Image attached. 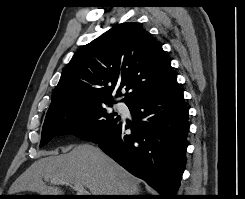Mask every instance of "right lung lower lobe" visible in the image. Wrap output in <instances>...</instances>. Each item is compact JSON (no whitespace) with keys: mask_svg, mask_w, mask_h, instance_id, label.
Here are the masks:
<instances>
[{"mask_svg":"<svg viewBox=\"0 0 245 199\" xmlns=\"http://www.w3.org/2000/svg\"><path fill=\"white\" fill-rule=\"evenodd\" d=\"M133 123L119 119L90 141L157 190L177 199L186 164L188 109L177 83L127 103ZM131 133L127 134L126 130Z\"/></svg>","mask_w":245,"mask_h":199,"instance_id":"obj_1","label":"right lung lower lobe"}]
</instances>
